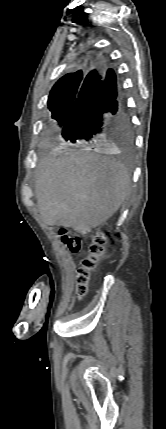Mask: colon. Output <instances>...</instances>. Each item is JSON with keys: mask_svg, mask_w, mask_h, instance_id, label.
Masks as SVG:
<instances>
[{"mask_svg": "<svg viewBox=\"0 0 166 429\" xmlns=\"http://www.w3.org/2000/svg\"><path fill=\"white\" fill-rule=\"evenodd\" d=\"M64 245L71 251L77 252L81 247L80 237L66 229L60 231ZM107 240L104 235L98 234L90 245L88 255L83 259L77 275V294L79 297L87 293L90 273L106 252Z\"/></svg>", "mask_w": 166, "mask_h": 429, "instance_id": "colon-1", "label": "colon"}]
</instances>
